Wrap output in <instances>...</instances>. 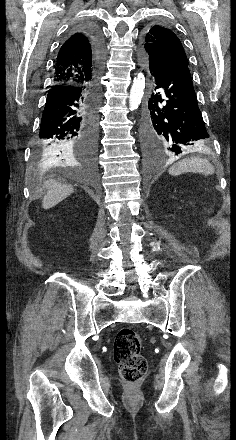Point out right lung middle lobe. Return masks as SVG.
<instances>
[{"instance_id":"obj_1","label":"right lung middle lobe","mask_w":236,"mask_h":440,"mask_svg":"<svg viewBox=\"0 0 236 440\" xmlns=\"http://www.w3.org/2000/svg\"><path fill=\"white\" fill-rule=\"evenodd\" d=\"M48 159L46 158V156L42 153V152H37L34 156V161L36 163H42L44 161H47Z\"/></svg>"}]
</instances>
